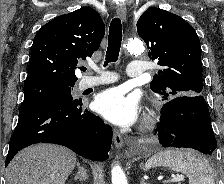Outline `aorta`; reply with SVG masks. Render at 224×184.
<instances>
[{
    "instance_id": "762f6f07",
    "label": "aorta",
    "mask_w": 224,
    "mask_h": 184,
    "mask_svg": "<svg viewBox=\"0 0 224 184\" xmlns=\"http://www.w3.org/2000/svg\"><path fill=\"white\" fill-rule=\"evenodd\" d=\"M126 49L130 53H141L144 50L143 42L137 38L130 39L126 43ZM112 184H128L126 176L119 165H116L111 170Z\"/></svg>"
}]
</instances>
